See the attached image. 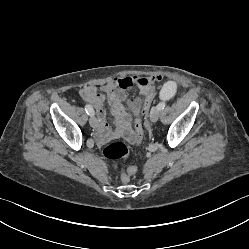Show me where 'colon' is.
Wrapping results in <instances>:
<instances>
[{
    "instance_id": "1",
    "label": "colon",
    "mask_w": 249,
    "mask_h": 249,
    "mask_svg": "<svg viewBox=\"0 0 249 249\" xmlns=\"http://www.w3.org/2000/svg\"><path fill=\"white\" fill-rule=\"evenodd\" d=\"M149 105L140 103L135 108L136 123H135V143L140 144L144 135V120L148 111ZM129 150L127 146L122 142H112L103 148V155L107 159H126L128 157ZM137 171L136 167H123L121 170L123 182H127L131 175Z\"/></svg>"
}]
</instances>
